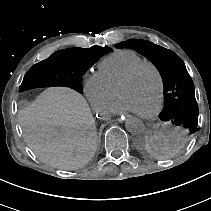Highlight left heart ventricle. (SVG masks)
<instances>
[{
    "label": "left heart ventricle",
    "instance_id": "left-heart-ventricle-1",
    "mask_svg": "<svg viewBox=\"0 0 211 211\" xmlns=\"http://www.w3.org/2000/svg\"><path fill=\"white\" fill-rule=\"evenodd\" d=\"M118 95L137 113L150 111L156 104L159 83L150 67L142 68L129 82L118 87Z\"/></svg>",
    "mask_w": 211,
    "mask_h": 211
}]
</instances>
